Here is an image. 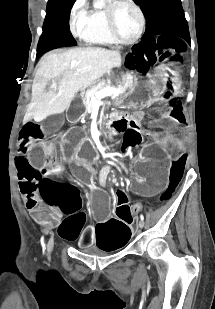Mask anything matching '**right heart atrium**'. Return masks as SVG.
<instances>
[{"instance_id": "right-heart-atrium-1", "label": "right heart atrium", "mask_w": 215, "mask_h": 309, "mask_svg": "<svg viewBox=\"0 0 215 309\" xmlns=\"http://www.w3.org/2000/svg\"><path fill=\"white\" fill-rule=\"evenodd\" d=\"M76 6L77 7H82L83 6V0H76ZM71 24L73 28H76L78 24H84L85 20L83 19V16L81 15L80 12L77 10H72L71 16H70Z\"/></svg>"}]
</instances>
